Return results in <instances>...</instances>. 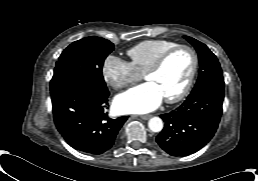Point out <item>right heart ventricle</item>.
Instances as JSON below:
<instances>
[{
  "mask_svg": "<svg viewBox=\"0 0 258 181\" xmlns=\"http://www.w3.org/2000/svg\"><path fill=\"white\" fill-rule=\"evenodd\" d=\"M176 45V42L163 39L144 40L131 47L127 55L132 67L143 75L163 52Z\"/></svg>",
  "mask_w": 258,
  "mask_h": 181,
  "instance_id": "obj_1",
  "label": "right heart ventricle"
}]
</instances>
